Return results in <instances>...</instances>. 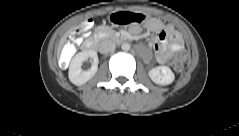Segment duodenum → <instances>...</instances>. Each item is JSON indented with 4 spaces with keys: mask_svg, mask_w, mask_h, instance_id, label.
<instances>
[{
    "mask_svg": "<svg viewBox=\"0 0 239 136\" xmlns=\"http://www.w3.org/2000/svg\"><path fill=\"white\" fill-rule=\"evenodd\" d=\"M116 40H117L118 43L126 42V40L124 38H121V37H117ZM95 47H96L95 39H87L82 44V48L86 51H92V50L95 49Z\"/></svg>",
    "mask_w": 239,
    "mask_h": 136,
    "instance_id": "410a0bca",
    "label": "duodenum"
}]
</instances>
